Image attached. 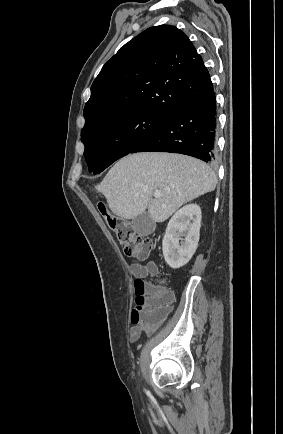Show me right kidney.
Instances as JSON below:
<instances>
[{
	"mask_svg": "<svg viewBox=\"0 0 283 434\" xmlns=\"http://www.w3.org/2000/svg\"><path fill=\"white\" fill-rule=\"evenodd\" d=\"M201 208L188 204L170 219L162 242L166 263L173 269L186 265L195 253L201 227Z\"/></svg>",
	"mask_w": 283,
	"mask_h": 434,
	"instance_id": "right-kidney-1",
	"label": "right kidney"
}]
</instances>
